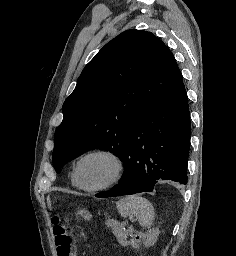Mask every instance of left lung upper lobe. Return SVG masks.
<instances>
[{
    "instance_id": "1",
    "label": "left lung upper lobe",
    "mask_w": 236,
    "mask_h": 256,
    "mask_svg": "<svg viewBox=\"0 0 236 256\" xmlns=\"http://www.w3.org/2000/svg\"><path fill=\"white\" fill-rule=\"evenodd\" d=\"M183 80L175 58L150 32L127 30L85 66L63 104L52 162L62 165L91 149L121 160L138 119Z\"/></svg>"
}]
</instances>
